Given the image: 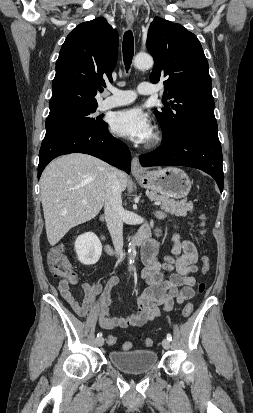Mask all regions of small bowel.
I'll return each instance as SVG.
<instances>
[{
    "instance_id": "c3829d8e",
    "label": "small bowel",
    "mask_w": 253,
    "mask_h": 413,
    "mask_svg": "<svg viewBox=\"0 0 253 413\" xmlns=\"http://www.w3.org/2000/svg\"><path fill=\"white\" fill-rule=\"evenodd\" d=\"M172 239L174 244L171 254L162 260L157 257L156 240H150L144 245L142 249L144 267L141 277L146 287L138 297L137 311L132 314L112 316L110 313V290L118 283L116 276L109 277L103 285L82 283L81 301L77 300L71 290V285L79 284L76 274L59 282V292L72 310L81 317L87 316L95 309V298L101 292L98 323L104 329L142 326L170 311L175 305H181L194 297L195 278L192 274L198 270L197 249L191 241L181 240L177 232L173 234Z\"/></svg>"
}]
</instances>
